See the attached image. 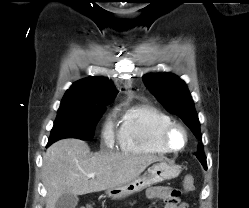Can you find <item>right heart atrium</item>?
<instances>
[{
	"label": "right heart atrium",
	"mask_w": 249,
	"mask_h": 208,
	"mask_svg": "<svg viewBox=\"0 0 249 208\" xmlns=\"http://www.w3.org/2000/svg\"><path fill=\"white\" fill-rule=\"evenodd\" d=\"M102 138L107 147H112L116 140V131L113 123V116L110 115L104 122Z\"/></svg>",
	"instance_id": "1"
}]
</instances>
